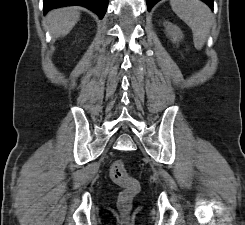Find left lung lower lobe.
<instances>
[{
  "mask_svg": "<svg viewBox=\"0 0 245 225\" xmlns=\"http://www.w3.org/2000/svg\"><path fill=\"white\" fill-rule=\"evenodd\" d=\"M158 1L160 0H146L148 11H150L153 5L156 4ZM202 1L205 2L211 9H213V0H202Z\"/></svg>",
  "mask_w": 245,
  "mask_h": 225,
  "instance_id": "1",
  "label": "left lung lower lobe"
}]
</instances>
